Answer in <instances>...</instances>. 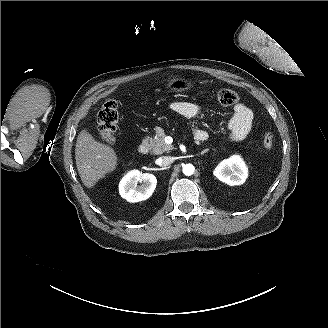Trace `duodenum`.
Segmentation results:
<instances>
[{"mask_svg":"<svg viewBox=\"0 0 328 328\" xmlns=\"http://www.w3.org/2000/svg\"><path fill=\"white\" fill-rule=\"evenodd\" d=\"M195 139L197 141H204L206 139V135L196 134ZM138 151L141 154H147L149 151V142L147 140H144L143 142H141L140 145L138 146Z\"/></svg>","mask_w":328,"mask_h":328,"instance_id":"1","label":"duodenum"}]
</instances>
